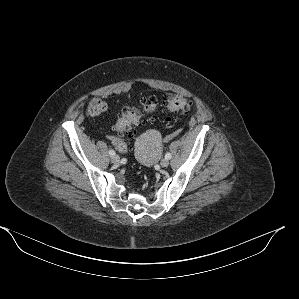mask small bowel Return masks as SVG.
<instances>
[{"instance_id":"c3829d8e","label":"small bowel","mask_w":299,"mask_h":299,"mask_svg":"<svg viewBox=\"0 0 299 299\" xmlns=\"http://www.w3.org/2000/svg\"><path fill=\"white\" fill-rule=\"evenodd\" d=\"M108 139L109 141H111L113 143V145L117 146V143L121 140L119 137L117 136H113V135H110L108 136ZM122 152V151H120ZM124 153V152H123Z\"/></svg>"}]
</instances>
